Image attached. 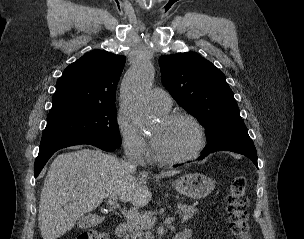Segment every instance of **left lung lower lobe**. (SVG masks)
Here are the masks:
<instances>
[{"label": "left lung lower lobe", "instance_id": "left-lung-lower-lobe-1", "mask_svg": "<svg viewBox=\"0 0 304 239\" xmlns=\"http://www.w3.org/2000/svg\"><path fill=\"white\" fill-rule=\"evenodd\" d=\"M223 150L224 151H232V152H236V153H240L242 155H245L246 157H248L255 164V166L258 167V165H257V153H256L255 146L253 144L252 145L237 144V145H230V146H225V147L211 149V150H204L202 152V156L200 157V159L206 157L208 154H210L212 152L223 151Z\"/></svg>", "mask_w": 304, "mask_h": 239}]
</instances>
